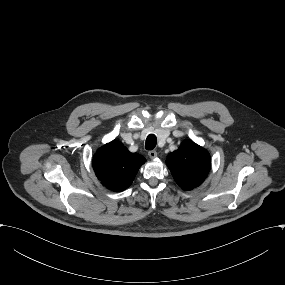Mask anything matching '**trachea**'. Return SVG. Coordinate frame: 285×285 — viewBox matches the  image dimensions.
Wrapping results in <instances>:
<instances>
[{"label":"trachea","instance_id":"3493384b","mask_svg":"<svg viewBox=\"0 0 285 285\" xmlns=\"http://www.w3.org/2000/svg\"><path fill=\"white\" fill-rule=\"evenodd\" d=\"M157 144V138L155 135L150 134L146 139V149L153 150Z\"/></svg>","mask_w":285,"mask_h":285}]
</instances>
